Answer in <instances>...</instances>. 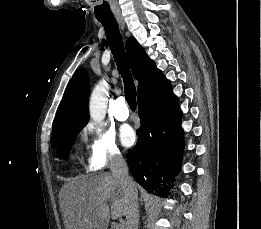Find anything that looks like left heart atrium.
<instances>
[{
    "label": "left heart atrium",
    "mask_w": 261,
    "mask_h": 229,
    "mask_svg": "<svg viewBox=\"0 0 261 229\" xmlns=\"http://www.w3.org/2000/svg\"><path fill=\"white\" fill-rule=\"evenodd\" d=\"M120 138L123 145L129 147L135 143L136 134L133 128L129 125L122 127L120 132Z\"/></svg>",
    "instance_id": "left-heart-atrium-1"
}]
</instances>
